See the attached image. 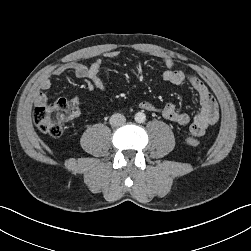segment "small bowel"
Segmentation results:
<instances>
[{
    "label": "small bowel",
    "mask_w": 251,
    "mask_h": 251,
    "mask_svg": "<svg viewBox=\"0 0 251 251\" xmlns=\"http://www.w3.org/2000/svg\"><path fill=\"white\" fill-rule=\"evenodd\" d=\"M118 51H109L104 54L107 59H114L118 57ZM103 61L101 58L94 60L90 65H84L78 62L66 63L54 70L53 74L56 76L63 75L69 71H72L77 78L87 79L92 85L100 90L106 89L105 83L100 77V70ZM163 64L165 71L163 72V79L174 85H181L188 82L192 88L196 91L199 99V109L197 114L191 119L190 116L184 112H181L173 103H167L161 107L154 105L149 101H142L140 103L141 108L148 111H155L167 120L176 123L178 125H190L191 133L195 136H202L206 130L217 122L219 118L218 105L212 96L207 86L195 75L187 74L182 70L174 69V61L170 58H164ZM52 83L49 77L43 78L39 83L41 90H48ZM47 101V97L44 92L40 91L35 97L37 105L44 104ZM71 102L78 108L79 99L73 97Z\"/></svg>",
    "instance_id": "obj_1"
}]
</instances>
